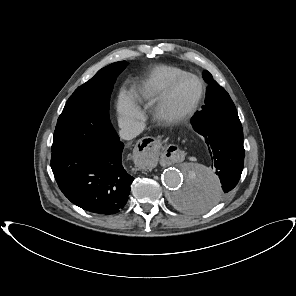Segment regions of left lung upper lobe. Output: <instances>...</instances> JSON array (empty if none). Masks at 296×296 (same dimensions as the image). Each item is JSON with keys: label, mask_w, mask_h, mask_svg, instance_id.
Instances as JSON below:
<instances>
[{"label": "left lung upper lobe", "mask_w": 296, "mask_h": 296, "mask_svg": "<svg viewBox=\"0 0 296 296\" xmlns=\"http://www.w3.org/2000/svg\"><path fill=\"white\" fill-rule=\"evenodd\" d=\"M203 78L208 83L205 103L217 95L227 93L215 80H213L212 75L208 71H204Z\"/></svg>", "instance_id": "5c2ea615"}]
</instances>
